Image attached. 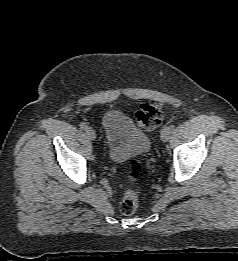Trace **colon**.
<instances>
[{"label": "colon", "mask_w": 238, "mask_h": 261, "mask_svg": "<svg viewBox=\"0 0 238 261\" xmlns=\"http://www.w3.org/2000/svg\"><path fill=\"white\" fill-rule=\"evenodd\" d=\"M138 124L145 130L151 131L156 129L161 123L162 109L157 104L143 103L136 113ZM129 176L132 182V187L127 189L120 201V211L124 215H132L140 203L139 192L136 188V183L142 173V165L137 159H132L129 163Z\"/></svg>", "instance_id": "1"}]
</instances>
